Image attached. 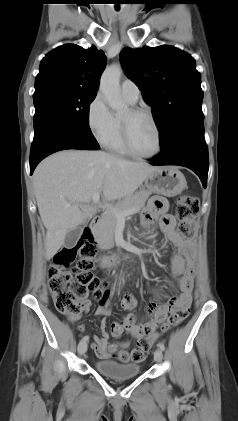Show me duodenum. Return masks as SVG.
Masks as SVG:
<instances>
[{
    "label": "duodenum",
    "instance_id": "duodenum-1",
    "mask_svg": "<svg viewBox=\"0 0 238 421\" xmlns=\"http://www.w3.org/2000/svg\"><path fill=\"white\" fill-rule=\"evenodd\" d=\"M99 222H100L99 217L93 218L89 224L88 232L94 230L99 225ZM125 261H127V257L125 256H106L102 258L100 264H101V267L103 268H109L111 266H114L119 263H123Z\"/></svg>",
    "mask_w": 238,
    "mask_h": 421
}]
</instances>
